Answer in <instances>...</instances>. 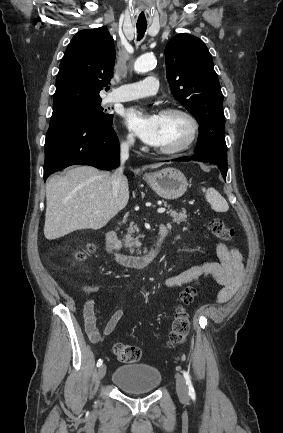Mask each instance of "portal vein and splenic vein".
<instances>
[{"mask_svg":"<svg viewBox=\"0 0 283 433\" xmlns=\"http://www.w3.org/2000/svg\"><path fill=\"white\" fill-rule=\"evenodd\" d=\"M166 208H157V212H165Z\"/></svg>","mask_w":283,"mask_h":433,"instance_id":"18ae733b","label":"portal vein and splenic vein"}]
</instances>
